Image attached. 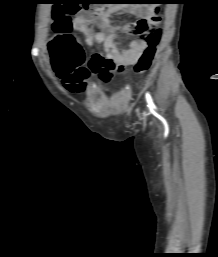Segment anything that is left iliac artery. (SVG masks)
Instances as JSON below:
<instances>
[{
  "label": "left iliac artery",
  "instance_id": "obj_1",
  "mask_svg": "<svg viewBox=\"0 0 218 257\" xmlns=\"http://www.w3.org/2000/svg\"><path fill=\"white\" fill-rule=\"evenodd\" d=\"M146 100H147V103H148V106L152 109V108H155V105L153 103V100H152V97L151 95L147 92L146 93Z\"/></svg>",
  "mask_w": 218,
  "mask_h": 257
}]
</instances>
